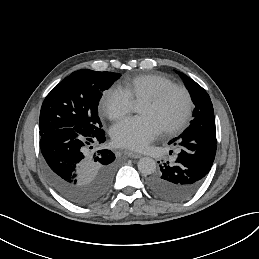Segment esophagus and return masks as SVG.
Instances as JSON below:
<instances>
[{
  "mask_svg": "<svg viewBox=\"0 0 259 259\" xmlns=\"http://www.w3.org/2000/svg\"><path fill=\"white\" fill-rule=\"evenodd\" d=\"M126 155H127V157L134 158V159H138V158L141 157L140 154H137V153L132 152V151H126Z\"/></svg>",
  "mask_w": 259,
  "mask_h": 259,
  "instance_id": "obj_1",
  "label": "esophagus"
}]
</instances>
